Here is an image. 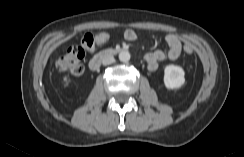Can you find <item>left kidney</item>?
<instances>
[{
	"label": "left kidney",
	"instance_id": "left-kidney-1",
	"mask_svg": "<svg viewBox=\"0 0 244 157\" xmlns=\"http://www.w3.org/2000/svg\"><path fill=\"white\" fill-rule=\"evenodd\" d=\"M185 72L182 67L168 65L164 69V84L167 89H178L185 82Z\"/></svg>",
	"mask_w": 244,
	"mask_h": 157
}]
</instances>
